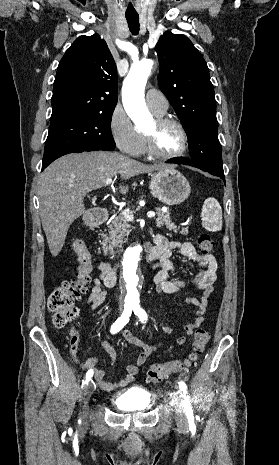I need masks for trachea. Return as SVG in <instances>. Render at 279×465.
<instances>
[{"label":"trachea","mask_w":279,"mask_h":465,"mask_svg":"<svg viewBox=\"0 0 279 465\" xmlns=\"http://www.w3.org/2000/svg\"><path fill=\"white\" fill-rule=\"evenodd\" d=\"M128 27L133 35H137L139 32V16L136 15H126Z\"/></svg>","instance_id":"3493384b"}]
</instances>
